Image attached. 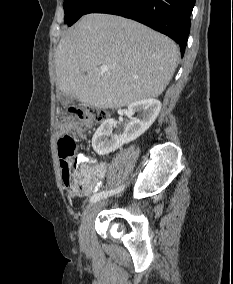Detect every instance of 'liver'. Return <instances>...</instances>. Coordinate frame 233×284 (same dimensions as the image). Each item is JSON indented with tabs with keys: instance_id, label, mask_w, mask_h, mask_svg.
<instances>
[{
	"instance_id": "1",
	"label": "liver",
	"mask_w": 233,
	"mask_h": 284,
	"mask_svg": "<svg viewBox=\"0 0 233 284\" xmlns=\"http://www.w3.org/2000/svg\"><path fill=\"white\" fill-rule=\"evenodd\" d=\"M178 60L167 36L120 16L87 14L55 50L56 85L85 105L117 109L161 95Z\"/></svg>"
}]
</instances>
